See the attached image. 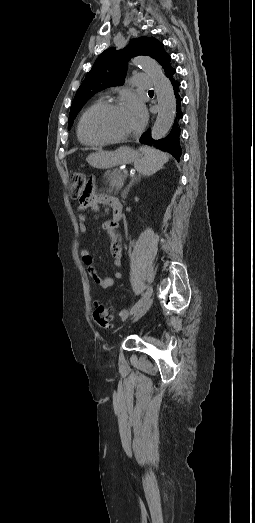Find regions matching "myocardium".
Here are the masks:
<instances>
[{
    "label": "myocardium",
    "mask_w": 255,
    "mask_h": 523,
    "mask_svg": "<svg viewBox=\"0 0 255 523\" xmlns=\"http://www.w3.org/2000/svg\"><path fill=\"white\" fill-rule=\"evenodd\" d=\"M124 105H127L126 102L124 101H111V100H107V101H102V102H99L95 105H93L92 107H90L83 115L82 119H81V123H80V126H81V131L83 133V135L90 141H93V142H96V143H116V142H123V141H127V140H130L134 137L137 136V132H135L133 135H128V136H118V137H97V136H94L92 134H90L86 128V123H87V120L88 118L90 117L91 114H93L95 111L97 110H101V109H106V108H118V107H122Z\"/></svg>",
    "instance_id": "f54148a6"
}]
</instances>
